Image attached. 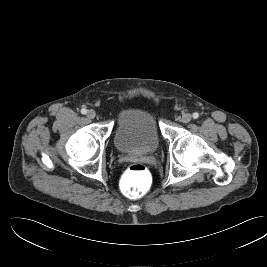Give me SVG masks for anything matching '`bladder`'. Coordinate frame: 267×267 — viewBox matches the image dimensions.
Listing matches in <instances>:
<instances>
[{
	"label": "bladder",
	"instance_id": "31cf9c89",
	"mask_svg": "<svg viewBox=\"0 0 267 267\" xmlns=\"http://www.w3.org/2000/svg\"><path fill=\"white\" fill-rule=\"evenodd\" d=\"M161 134L154 114L143 107L122 113L113 134L115 148L125 154H148L157 149Z\"/></svg>",
	"mask_w": 267,
	"mask_h": 267
}]
</instances>
